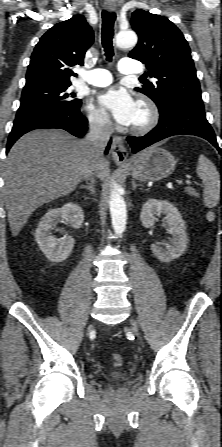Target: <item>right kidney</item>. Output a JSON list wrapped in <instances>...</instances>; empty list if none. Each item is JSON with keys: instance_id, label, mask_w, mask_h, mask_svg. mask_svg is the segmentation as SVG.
Returning a JSON list of instances; mask_svg holds the SVG:
<instances>
[{"instance_id": "right-kidney-1", "label": "right kidney", "mask_w": 222, "mask_h": 447, "mask_svg": "<svg viewBox=\"0 0 222 447\" xmlns=\"http://www.w3.org/2000/svg\"><path fill=\"white\" fill-rule=\"evenodd\" d=\"M69 222L70 225L79 229L84 221L82 208L75 203L64 204L60 208H53L47 211L38 224L35 232V240L40 250L45 256L55 263L63 262L70 255L74 247V239L71 236H64L55 239L51 231L59 222Z\"/></svg>"}]
</instances>
